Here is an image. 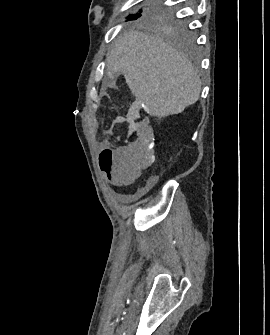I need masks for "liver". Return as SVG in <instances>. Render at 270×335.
I'll return each instance as SVG.
<instances>
[{"mask_svg": "<svg viewBox=\"0 0 270 335\" xmlns=\"http://www.w3.org/2000/svg\"><path fill=\"white\" fill-rule=\"evenodd\" d=\"M122 72L133 96L156 118L181 114L199 100L197 70L172 46L148 32H123L107 54V76Z\"/></svg>", "mask_w": 270, "mask_h": 335, "instance_id": "1", "label": "liver"}]
</instances>
